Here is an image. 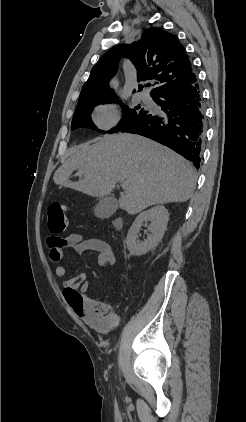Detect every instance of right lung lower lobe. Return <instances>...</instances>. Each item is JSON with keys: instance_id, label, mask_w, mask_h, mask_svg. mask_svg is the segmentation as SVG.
<instances>
[{"instance_id": "obj_1", "label": "right lung lower lobe", "mask_w": 246, "mask_h": 422, "mask_svg": "<svg viewBox=\"0 0 246 422\" xmlns=\"http://www.w3.org/2000/svg\"><path fill=\"white\" fill-rule=\"evenodd\" d=\"M163 116L151 113L147 118L122 129L153 139L200 167L205 138V117L198 82L186 83L162 92L155 98Z\"/></svg>"}]
</instances>
